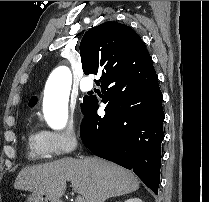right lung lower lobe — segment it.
<instances>
[{
	"label": "right lung lower lobe",
	"instance_id": "right-lung-lower-lobe-1",
	"mask_svg": "<svg viewBox=\"0 0 209 202\" xmlns=\"http://www.w3.org/2000/svg\"><path fill=\"white\" fill-rule=\"evenodd\" d=\"M144 60L145 74L130 77L119 87L111 82L101 85L105 115L97 114V97H88L80 135L93 154L132 169L158 194L165 115L152 59Z\"/></svg>",
	"mask_w": 209,
	"mask_h": 202
}]
</instances>
